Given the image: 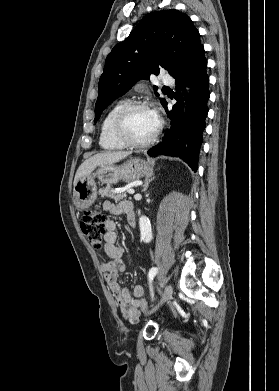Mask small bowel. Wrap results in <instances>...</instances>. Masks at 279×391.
Instances as JSON below:
<instances>
[{
  "instance_id": "c3829d8e",
  "label": "small bowel",
  "mask_w": 279,
  "mask_h": 391,
  "mask_svg": "<svg viewBox=\"0 0 279 391\" xmlns=\"http://www.w3.org/2000/svg\"><path fill=\"white\" fill-rule=\"evenodd\" d=\"M130 205L127 201H121L117 204L106 201L103 203V210L112 215H120L125 213ZM104 252L110 258V261L101 264L105 281L118 301L121 315L131 323H136L140 318L138 299L143 297L144 290L140 285H134L132 290L121 288L117 282L118 275L125 270V264L123 249L118 245L117 227L115 222L110 219L106 221Z\"/></svg>"
}]
</instances>
